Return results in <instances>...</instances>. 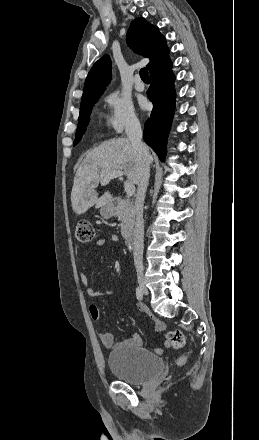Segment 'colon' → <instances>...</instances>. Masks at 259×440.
Returning a JSON list of instances; mask_svg holds the SVG:
<instances>
[{
    "instance_id": "obj_1",
    "label": "colon",
    "mask_w": 259,
    "mask_h": 440,
    "mask_svg": "<svg viewBox=\"0 0 259 440\" xmlns=\"http://www.w3.org/2000/svg\"><path fill=\"white\" fill-rule=\"evenodd\" d=\"M76 237L82 243L90 242L94 237L93 225L88 221H80L76 226ZM186 344V337L180 330H172L166 334V345L173 348H183ZM189 357V353L180 356L177 364L182 365Z\"/></svg>"
}]
</instances>
